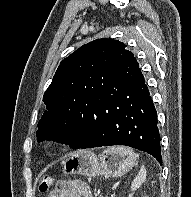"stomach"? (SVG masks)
Returning a JSON list of instances; mask_svg holds the SVG:
<instances>
[{"label": "stomach", "instance_id": "0dacf381", "mask_svg": "<svg viewBox=\"0 0 191 197\" xmlns=\"http://www.w3.org/2000/svg\"><path fill=\"white\" fill-rule=\"evenodd\" d=\"M127 156L113 151L111 148L96 156L90 150H80L70 155L63 163L65 174H81L84 176L119 177L132 166Z\"/></svg>", "mask_w": 191, "mask_h": 197}]
</instances>
